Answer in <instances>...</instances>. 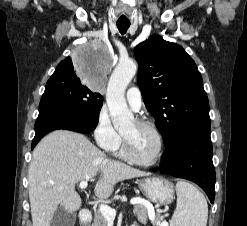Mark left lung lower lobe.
I'll list each match as a JSON object with an SVG mask.
<instances>
[{
    "label": "left lung lower lobe",
    "mask_w": 247,
    "mask_h": 226,
    "mask_svg": "<svg viewBox=\"0 0 247 226\" xmlns=\"http://www.w3.org/2000/svg\"><path fill=\"white\" fill-rule=\"evenodd\" d=\"M163 162L158 169L162 173L197 183L208 195L215 197V169L212 162L210 123L187 129L176 141L166 146Z\"/></svg>",
    "instance_id": "1"
}]
</instances>
